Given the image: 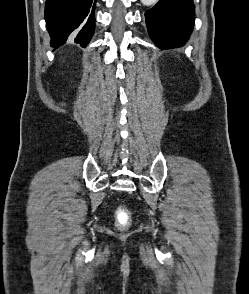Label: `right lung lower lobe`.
<instances>
[{
  "mask_svg": "<svg viewBox=\"0 0 249 294\" xmlns=\"http://www.w3.org/2000/svg\"><path fill=\"white\" fill-rule=\"evenodd\" d=\"M95 0H46L45 20L52 47L74 41L86 47L94 33Z\"/></svg>",
  "mask_w": 249,
  "mask_h": 294,
  "instance_id": "obj_1",
  "label": "right lung lower lobe"
}]
</instances>
